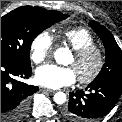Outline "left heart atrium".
Returning a JSON list of instances; mask_svg holds the SVG:
<instances>
[{"instance_id": "obj_1", "label": "left heart atrium", "mask_w": 122, "mask_h": 122, "mask_svg": "<svg viewBox=\"0 0 122 122\" xmlns=\"http://www.w3.org/2000/svg\"><path fill=\"white\" fill-rule=\"evenodd\" d=\"M35 79L41 86L58 89L73 84L76 80V73L70 67L45 64L36 70Z\"/></svg>"}]
</instances>
